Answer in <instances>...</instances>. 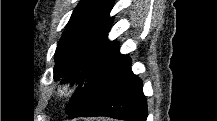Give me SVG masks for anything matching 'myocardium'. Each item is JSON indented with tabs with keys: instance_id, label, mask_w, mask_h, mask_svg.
Wrapping results in <instances>:
<instances>
[{
	"instance_id": "obj_1",
	"label": "myocardium",
	"mask_w": 217,
	"mask_h": 121,
	"mask_svg": "<svg viewBox=\"0 0 217 121\" xmlns=\"http://www.w3.org/2000/svg\"><path fill=\"white\" fill-rule=\"evenodd\" d=\"M77 83L73 81H65L58 85L55 96L58 100L62 101L71 97L76 91Z\"/></svg>"
}]
</instances>
